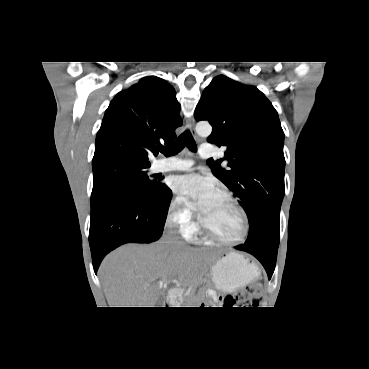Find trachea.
Returning <instances> with one entry per match:
<instances>
[{"mask_svg": "<svg viewBox=\"0 0 369 369\" xmlns=\"http://www.w3.org/2000/svg\"><path fill=\"white\" fill-rule=\"evenodd\" d=\"M185 146L192 152L197 151L196 142L188 130L182 133L169 148H160L159 151L166 156H173L178 154Z\"/></svg>", "mask_w": 369, "mask_h": 369, "instance_id": "trachea-1", "label": "trachea"}]
</instances>
